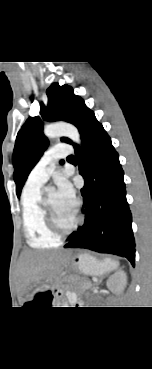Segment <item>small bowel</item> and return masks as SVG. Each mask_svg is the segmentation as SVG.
<instances>
[{
  "label": "small bowel",
  "mask_w": 152,
  "mask_h": 369,
  "mask_svg": "<svg viewBox=\"0 0 152 369\" xmlns=\"http://www.w3.org/2000/svg\"><path fill=\"white\" fill-rule=\"evenodd\" d=\"M71 301L75 300V297L73 295L70 296Z\"/></svg>",
  "instance_id": "1"
}]
</instances>
